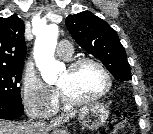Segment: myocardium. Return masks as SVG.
<instances>
[{
    "instance_id": "f54148a6",
    "label": "myocardium",
    "mask_w": 153,
    "mask_h": 134,
    "mask_svg": "<svg viewBox=\"0 0 153 134\" xmlns=\"http://www.w3.org/2000/svg\"><path fill=\"white\" fill-rule=\"evenodd\" d=\"M86 63L93 64L99 68V70L104 75V78L106 81L105 87L99 93H97L93 96L79 98V97H74V96L70 95L65 89L58 86V91L61 96V99L67 105L78 106V105H83V104L97 101L100 98L104 97L107 93H109V91L112 88L113 79H112L111 73L109 72L107 67L100 60H98L94 57H81V58L75 59L68 64L67 69L69 71L73 72L78 67H80L81 65L86 64Z\"/></svg>"
}]
</instances>
